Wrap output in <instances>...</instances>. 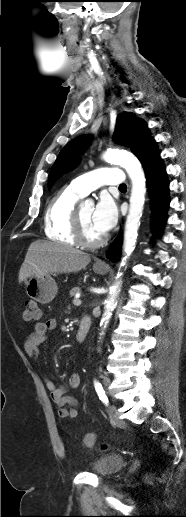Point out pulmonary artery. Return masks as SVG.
<instances>
[{
  "instance_id": "obj_1",
  "label": "pulmonary artery",
  "mask_w": 186,
  "mask_h": 517,
  "mask_svg": "<svg viewBox=\"0 0 186 517\" xmlns=\"http://www.w3.org/2000/svg\"><path fill=\"white\" fill-rule=\"evenodd\" d=\"M121 184H124V173L121 169L100 168L73 179L70 186L82 196H86L100 186Z\"/></svg>"
}]
</instances>
